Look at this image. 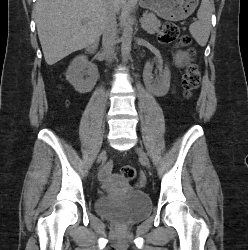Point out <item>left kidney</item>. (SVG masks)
<instances>
[{
    "label": "left kidney",
    "instance_id": "5707ae66",
    "mask_svg": "<svg viewBox=\"0 0 248 250\" xmlns=\"http://www.w3.org/2000/svg\"><path fill=\"white\" fill-rule=\"evenodd\" d=\"M169 86H170V72L166 71L163 77L160 80H158L157 87H160L163 91H166L168 90Z\"/></svg>",
    "mask_w": 248,
    "mask_h": 250
}]
</instances>
